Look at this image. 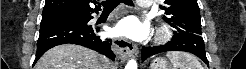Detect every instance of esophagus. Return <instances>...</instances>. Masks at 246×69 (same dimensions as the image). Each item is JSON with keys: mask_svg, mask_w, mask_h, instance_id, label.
<instances>
[{"mask_svg": "<svg viewBox=\"0 0 246 69\" xmlns=\"http://www.w3.org/2000/svg\"><path fill=\"white\" fill-rule=\"evenodd\" d=\"M111 48L116 55L122 58L138 54L137 46L122 38H113Z\"/></svg>", "mask_w": 246, "mask_h": 69, "instance_id": "obj_1", "label": "esophagus"}]
</instances>
